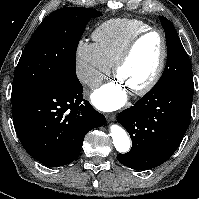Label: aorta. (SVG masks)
Returning <instances> with one entry per match:
<instances>
[{
    "label": "aorta",
    "instance_id": "1",
    "mask_svg": "<svg viewBox=\"0 0 199 199\" xmlns=\"http://www.w3.org/2000/svg\"><path fill=\"white\" fill-rule=\"evenodd\" d=\"M110 132L116 150L119 153H127L130 150L131 141L126 131L119 125H112Z\"/></svg>",
    "mask_w": 199,
    "mask_h": 199
}]
</instances>
